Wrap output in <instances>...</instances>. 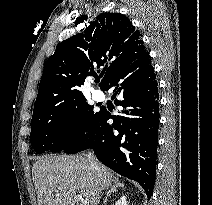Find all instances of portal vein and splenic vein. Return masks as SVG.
<instances>
[{
    "label": "portal vein and splenic vein",
    "mask_w": 212,
    "mask_h": 205,
    "mask_svg": "<svg viewBox=\"0 0 212 205\" xmlns=\"http://www.w3.org/2000/svg\"><path fill=\"white\" fill-rule=\"evenodd\" d=\"M77 198L82 205H89V200L87 198H83L80 194H77Z\"/></svg>",
    "instance_id": "portal-vein-and-splenic-vein-1"
}]
</instances>
